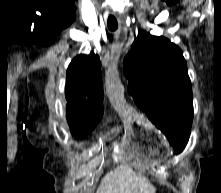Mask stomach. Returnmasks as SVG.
<instances>
[{
  "label": "stomach",
  "instance_id": "0dacf381",
  "mask_svg": "<svg viewBox=\"0 0 221 193\" xmlns=\"http://www.w3.org/2000/svg\"><path fill=\"white\" fill-rule=\"evenodd\" d=\"M109 103H113L117 112L123 115V120L131 130L128 133L131 142H127L125 147V159L119 160L123 167H152L153 163L146 159L167 158V142H163L164 133H160L157 125L144 120V115H138V110L128 102V98H109Z\"/></svg>",
  "mask_w": 221,
  "mask_h": 193
}]
</instances>
